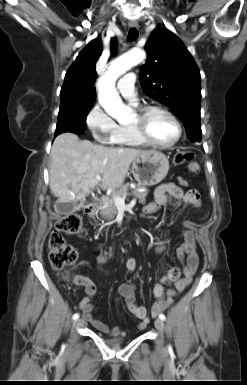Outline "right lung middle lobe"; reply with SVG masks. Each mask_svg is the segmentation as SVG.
Returning <instances> with one entry per match:
<instances>
[{"instance_id":"right-lung-middle-lobe-1","label":"right lung middle lobe","mask_w":247,"mask_h":385,"mask_svg":"<svg viewBox=\"0 0 247 385\" xmlns=\"http://www.w3.org/2000/svg\"><path fill=\"white\" fill-rule=\"evenodd\" d=\"M92 106L93 102L61 100L55 136L64 132L83 133L87 127L86 117Z\"/></svg>"}]
</instances>
